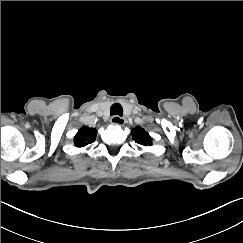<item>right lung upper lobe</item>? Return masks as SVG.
I'll list each match as a JSON object with an SVG mask.
<instances>
[{
  "label": "right lung upper lobe",
  "mask_w": 243,
  "mask_h": 243,
  "mask_svg": "<svg viewBox=\"0 0 243 243\" xmlns=\"http://www.w3.org/2000/svg\"><path fill=\"white\" fill-rule=\"evenodd\" d=\"M97 131L95 128L82 127L74 137V143L77 147H84L95 141Z\"/></svg>",
  "instance_id": "right-lung-upper-lobe-1"
}]
</instances>
